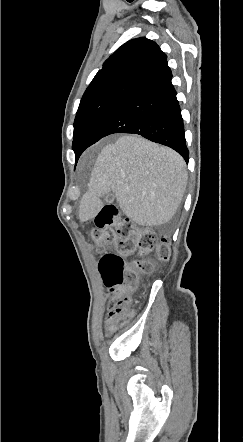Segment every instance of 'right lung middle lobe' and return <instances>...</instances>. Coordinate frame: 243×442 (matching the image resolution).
Here are the masks:
<instances>
[{
	"label": "right lung middle lobe",
	"instance_id": "dd1d6c3e",
	"mask_svg": "<svg viewBox=\"0 0 243 442\" xmlns=\"http://www.w3.org/2000/svg\"><path fill=\"white\" fill-rule=\"evenodd\" d=\"M129 92H112L81 101L74 121L73 150L76 162L100 123Z\"/></svg>",
	"mask_w": 243,
	"mask_h": 442
}]
</instances>
